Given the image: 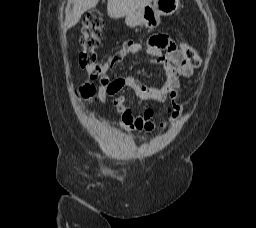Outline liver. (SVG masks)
<instances>
[{"mask_svg": "<svg viewBox=\"0 0 256 228\" xmlns=\"http://www.w3.org/2000/svg\"><path fill=\"white\" fill-rule=\"evenodd\" d=\"M152 0H108L107 12L113 19H119L131 14L139 8L149 4ZM72 3V10L66 14L65 24L68 28L75 26L82 14L89 9L96 7L99 0H69Z\"/></svg>", "mask_w": 256, "mask_h": 228, "instance_id": "obj_1", "label": "liver"}]
</instances>
